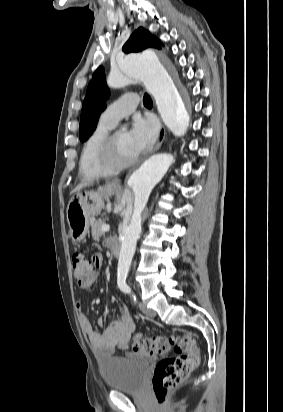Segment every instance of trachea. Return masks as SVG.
<instances>
[{
	"mask_svg": "<svg viewBox=\"0 0 283 412\" xmlns=\"http://www.w3.org/2000/svg\"><path fill=\"white\" fill-rule=\"evenodd\" d=\"M143 103H144L145 106H150V105H152L151 97H150L147 93L144 94Z\"/></svg>",
	"mask_w": 283,
	"mask_h": 412,
	"instance_id": "3493384b",
	"label": "trachea"
}]
</instances>
